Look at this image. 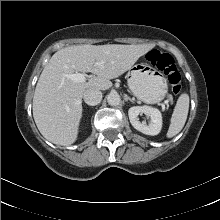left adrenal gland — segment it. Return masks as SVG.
Returning a JSON list of instances; mask_svg holds the SVG:
<instances>
[{"mask_svg": "<svg viewBox=\"0 0 220 220\" xmlns=\"http://www.w3.org/2000/svg\"><path fill=\"white\" fill-rule=\"evenodd\" d=\"M124 100H125V101H130V102H132V103L135 102V99H134V98H130L128 95H124Z\"/></svg>", "mask_w": 220, "mask_h": 220, "instance_id": "left-adrenal-gland-1", "label": "left adrenal gland"}]
</instances>
